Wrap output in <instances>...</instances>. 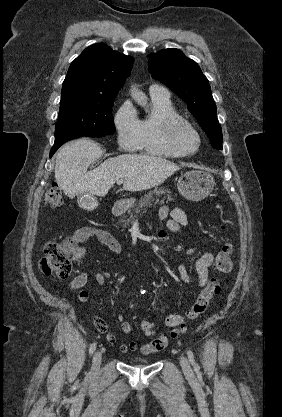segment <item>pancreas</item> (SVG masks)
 I'll use <instances>...</instances> for the list:
<instances>
[{
  "instance_id": "1",
  "label": "pancreas",
  "mask_w": 282,
  "mask_h": 417,
  "mask_svg": "<svg viewBox=\"0 0 282 417\" xmlns=\"http://www.w3.org/2000/svg\"><path fill=\"white\" fill-rule=\"evenodd\" d=\"M162 194H166V196H162ZM154 196H162L161 200L157 198L156 202L158 204H163L165 198L168 200H174L170 194L169 188H163V186H154L153 190H149L147 194H144L143 198H140L138 204H136V209H129L127 215H121L119 223H123V229H127L129 223H133L134 217H137L140 211H143V206H151L150 200H154Z\"/></svg>"
}]
</instances>
